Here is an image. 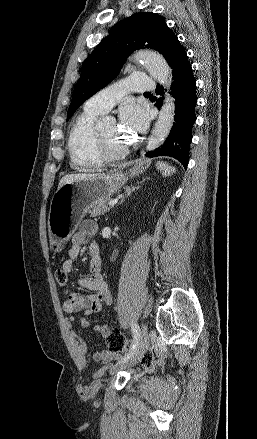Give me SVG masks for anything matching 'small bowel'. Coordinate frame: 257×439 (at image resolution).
<instances>
[{"mask_svg": "<svg viewBox=\"0 0 257 439\" xmlns=\"http://www.w3.org/2000/svg\"><path fill=\"white\" fill-rule=\"evenodd\" d=\"M97 231V225L91 220L82 222L79 230L71 238V247L68 251L69 258L62 264V269L70 273L74 269V262L78 257L82 245L88 241V251L90 254V272L89 278H81L79 284L89 290L91 293L82 295L78 293H65L63 309L65 312L75 314L82 312L84 316L101 312L105 306L112 302L111 293L107 282L102 275V262L100 258V248L97 241L93 239ZM76 320L75 316L70 317V322ZM79 321L83 327H88L89 322L84 317H80ZM94 332L105 337L109 332L105 324H97L94 326ZM70 337L75 342L80 363L83 367L87 364L88 349L85 342L74 331H70ZM96 362L105 365V370L110 368V363L118 358V354L109 350H98L92 355Z\"/></svg>", "mask_w": 257, "mask_h": 439, "instance_id": "small-bowel-1", "label": "small bowel"}]
</instances>
